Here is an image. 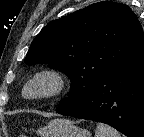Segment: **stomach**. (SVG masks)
Masks as SVG:
<instances>
[{
  "label": "stomach",
  "mask_w": 144,
  "mask_h": 137,
  "mask_svg": "<svg viewBox=\"0 0 144 137\" xmlns=\"http://www.w3.org/2000/svg\"><path fill=\"white\" fill-rule=\"evenodd\" d=\"M36 132L41 137H91L88 130L78 128L67 119H54Z\"/></svg>",
  "instance_id": "1"
}]
</instances>
